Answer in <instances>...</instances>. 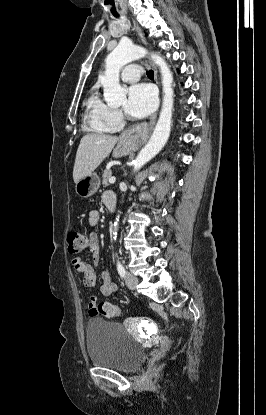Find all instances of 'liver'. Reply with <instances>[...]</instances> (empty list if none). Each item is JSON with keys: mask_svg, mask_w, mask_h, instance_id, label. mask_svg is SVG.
<instances>
[{"mask_svg": "<svg viewBox=\"0 0 266 415\" xmlns=\"http://www.w3.org/2000/svg\"><path fill=\"white\" fill-rule=\"evenodd\" d=\"M118 137L106 134H87L82 137L77 149L73 168V180L77 183L91 174L111 153Z\"/></svg>", "mask_w": 266, "mask_h": 415, "instance_id": "1", "label": "liver"}]
</instances>
